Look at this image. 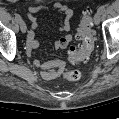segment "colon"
I'll list each match as a JSON object with an SVG mask.
<instances>
[{"mask_svg": "<svg viewBox=\"0 0 119 119\" xmlns=\"http://www.w3.org/2000/svg\"><path fill=\"white\" fill-rule=\"evenodd\" d=\"M91 15L92 11L90 9H87L83 13L76 36L80 43L77 47H71L69 50V61L72 64L86 61L92 53L94 33L92 30ZM63 77L67 80L76 81L81 78V72L79 70H71L65 72Z\"/></svg>", "mask_w": 119, "mask_h": 119, "instance_id": "obj_1", "label": "colon"}]
</instances>
